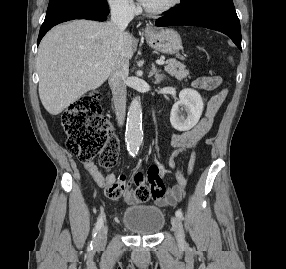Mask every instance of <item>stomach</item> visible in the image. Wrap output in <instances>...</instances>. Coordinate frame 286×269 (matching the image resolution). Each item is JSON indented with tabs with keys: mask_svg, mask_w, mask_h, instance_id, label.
<instances>
[{
	"mask_svg": "<svg viewBox=\"0 0 286 269\" xmlns=\"http://www.w3.org/2000/svg\"><path fill=\"white\" fill-rule=\"evenodd\" d=\"M146 40L153 49L165 54H176L182 46L180 35L173 29L147 31Z\"/></svg>",
	"mask_w": 286,
	"mask_h": 269,
	"instance_id": "1",
	"label": "stomach"
}]
</instances>
